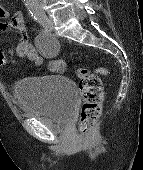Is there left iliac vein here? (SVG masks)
Returning <instances> with one entry per match:
<instances>
[{
  "mask_svg": "<svg viewBox=\"0 0 143 170\" xmlns=\"http://www.w3.org/2000/svg\"><path fill=\"white\" fill-rule=\"evenodd\" d=\"M53 28H54L53 20H52V18L48 17L47 18V27H45V30L46 31H52Z\"/></svg>",
  "mask_w": 143,
  "mask_h": 170,
  "instance_id": "4c4485c4",
  "label": "left iliac vein"
}]
</instances>
